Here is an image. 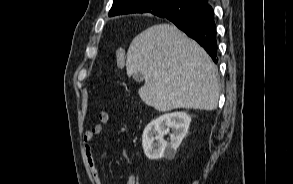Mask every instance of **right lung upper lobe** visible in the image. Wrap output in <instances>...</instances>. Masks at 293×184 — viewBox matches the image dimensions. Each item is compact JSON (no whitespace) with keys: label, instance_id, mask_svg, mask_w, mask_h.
Returning <instances> with one entry per match:
<instances>
[{"label":"right lung upper lobe","instance_id":"obj_1","mask_svg":"<svg viewBox=\"0 0 293 184\" xmlns=\"http://www.w3.org/2000/svg\"><path fill=\"white\" fill-rule=\"evenodd\" d=\"M156 1H167V5L164 8H157L154 3ZM187 2L208 4V0H114L109 16L146 12L162 16Z\"/></svg>","mask_w":293,"mask_h":184}]
</instances>
